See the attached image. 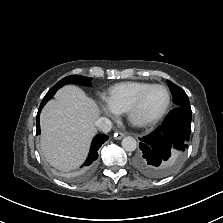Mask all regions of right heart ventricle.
I'll use <instances>...</instances> for the list:
<instances>
[{
  "label": "right heart ventricle",
  "mask_w": 223,
  "mask_h": 223,
  "mask_svg": "<svg viewBox=\"0 0 223 223\" xmlns=\"http://www.w3.org/2000/svg\"><path fill=\"white\" fill-rule=\"evenodd\" d=\"M151 83L144 81H126L109 88L106 96L107 102L118 112H127L136 97Z\"/></svg>",
  "instance_id": "obj_1"
}]
</instances>
